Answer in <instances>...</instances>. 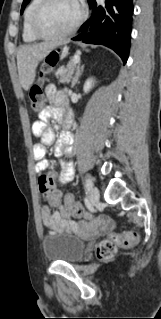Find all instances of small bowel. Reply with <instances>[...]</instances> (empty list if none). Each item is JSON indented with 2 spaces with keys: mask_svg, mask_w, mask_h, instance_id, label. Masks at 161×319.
Returning <instances> with one entry per match:
<instances>
[{
  "mask_svg": "<svg viewBox=\"0 0 161 319\" xmlns=\"http://www.w3.org/2000/svg\"><path fill=\"white\" fill-rule=\"evenodd\" d=\"M47 98L52 105L46 107L40 114L39 120L32 125V136L41 139L40 143L33 144V156L36 159V171H45L51 168L45 156V146L54 144V154L57 157H62V152L65 151L66 157L64 159V169L59 179V184H68L74 177V169L69 156L73 152V135L72 133H63L56 139L53 129L45 126L50 118L63 119L68 122L69 116L64 115L60 106L65 103V89L59 91L54 84H49L45 88ZM79 202L72 194L63 196L59 211H52L51 206L43 205L41 207V217L44 225L50 229L51 232L69 231L72 233H96L104 234L113 229L109 218L100 216L93 217L89 220H73L67 211V204Z\"/></svg>",
  "mask_w": 161,
  "mask_h": 319,
  "instance_id": "c3829d8e",
  "label": "small bowel"
}]
</instances>
